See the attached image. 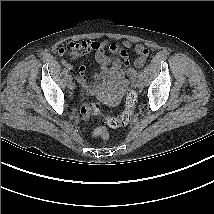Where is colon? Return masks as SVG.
<instances>
[{
  "label": "colon",
  "instance_id": "1",
  "mask_svg": "<svg viewBox=\"0 0 214 214\" xmlns=\"http://www.w3.org/2000/svg\"><path fill=\"white\" fill-rule=\"evenodd\" d=\"M136 51L140 55L136 60V64L138 66H142L148 56V50L138 45L136 46ZM135 102H136V94L135 92L129 90L125 97L124 111L122 112L121 116H119L118 118H108L107 119L108 125L116 128L120 126H125L129 122H131L134 114ZM97 110H99V108H97L96 105H94L91 109V111L93 112H97ZM95 134L101 136L104 139H108L109 137L105 127H101L95 130Z\"/></svg>",
  "mask_w": 214,
  "mask_h": 214
}]
</instances>
